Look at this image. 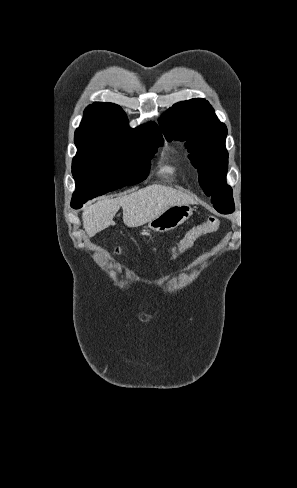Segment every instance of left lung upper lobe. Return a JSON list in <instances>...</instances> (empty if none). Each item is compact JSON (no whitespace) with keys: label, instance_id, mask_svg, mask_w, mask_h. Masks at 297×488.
<instances>
[{"label":"left lung upper lobe","instance_id":"left-lung-upper-lobe-1","mask_svg":"<svg viewBox=\"0 0 297 488\" xmlns=\"http://www.w3.org/2000/svg\"><path fill=\"white\" fill-rule=\"evenodd\" d=\"M159 124L168 141H187L189 158L198 170L203 191L218 212L232 213L235 209L232 189L226 183L227 129L209 102L202 98L178 102L166 111Z\"/></svg>","mask_w":297,"mask_h":488}]
</instances>
